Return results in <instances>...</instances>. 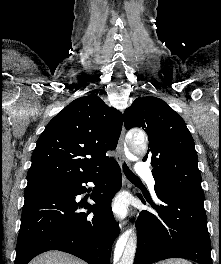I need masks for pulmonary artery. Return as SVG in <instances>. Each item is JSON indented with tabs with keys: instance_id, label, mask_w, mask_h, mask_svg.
Here are the masks:
<instances>
[{
	"instance_id": "obj_1",
	"label": "pulmonary artery",
	"mask_w": 221,
	"mask_h": 264,
	"mask_svg": "<svg viewBox=\"0 0 221 264\" xmlns=\"http://www.w3.org/2000/svg\"><path fill=\"white\" fill-rule=\"evenodd\" d=\"M137 173L143 177L144 179L147 180L151 191L154 193V187H155V179L150 171V169L144 165V164H140L137 168Z\"/></svg>"
}]
</instances>
